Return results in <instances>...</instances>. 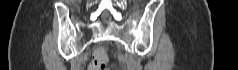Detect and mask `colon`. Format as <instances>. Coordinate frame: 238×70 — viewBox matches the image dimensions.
I'll list each match as a JSON object with an SVG mask.
<instances>
[{
    "instance_id": "obj_1",
    "label": "colon",
    "mask_w": 238,
    "mask_h": 70,
    "mask_svg": "<svg viewBox=\"0 0 238 70\" xmlns=\"http://www.w3.org/2000/svg\"><path fill=\"white\" fill-rule=\"evenodd\" d=\"M108 63V55L104 48H97L93 54V60L89 70H104Z\"/></svg>"
}]
</instances>
